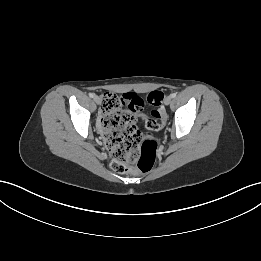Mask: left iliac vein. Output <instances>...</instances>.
I'll return each mask as SVG.
<instances>
[{
	"label": "left iliac vein",
	"instance_id": "left-iliac-vein-1",
	"mask_svg": "<svg viewBox=\"0 0 261 261\" xmlns=\"http://www.w3.org/2000/svg\"><path fill=\"white\" fill-rule=\"evenodd\" d=\"M171 102H172V97H171V96H167V97L164 99V104H165V105H169Z\"/></svg>",
	"mask_w": 261,
	"mask_h": 261
}]
</instances>
